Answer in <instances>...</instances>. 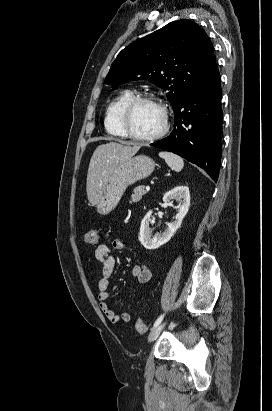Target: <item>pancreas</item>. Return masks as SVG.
<instances>
[{"label":"pancreas","instance_id":"obj_1","mask_svg":"<svg viewBox=\"0 0 272 411\" xmlns=\"http://www.w3.org/2000/svg\"><path fill=\"white\" fill-rule=\"evenodd\" d=\"M146 193L147 191L145 190L144 186H137L133 190L130 203L139 202Z\"/></svg>","mask_w":272,"mask_h":411}]
</instances>
